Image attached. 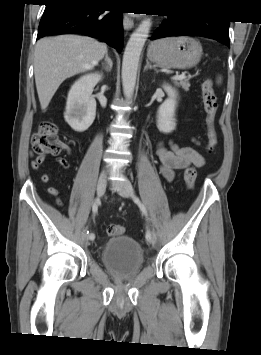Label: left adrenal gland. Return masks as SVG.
I'll use <instances>...</instances> for the list:
<instances>
[{
    "instance_id": "a2214340",
    "label": "left adrenal gland",
    "mask_w": 261,
    "mask_h": 355,
    "mask_svg": "<svg viewBox=\"0 0 261 355\" xmlns=\"http://www.w3.org/2000/svg\"><path fill=\"white\" fill-rule=\"evenodd\" d=\"M147 69H154V70H156V68L153 67V66L149 63L148 60H146V65H145V67H144V71H146Z\"/></svg>"
}]
</instances>
